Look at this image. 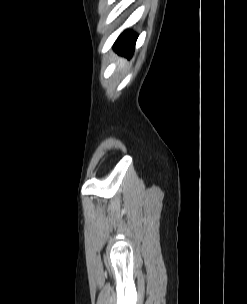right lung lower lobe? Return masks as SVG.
Listing matches in <instances>:
<instances>
[{"instance_id": "1", "label": "right lung lower lobe", "mask_w": 247, "mask_h": 304, "mask_svg": "<svg viewBox=\"0 0 247 304\" xmlns=\"http://www.w3.org/2000/svg\"><path fill=\"white\" fill-rule=\"evenodd\" d=\"M137 35L135 33L124 31L114 44V49L121 55L130 58L135 49Z\"/></svg>"}]
</instances>
